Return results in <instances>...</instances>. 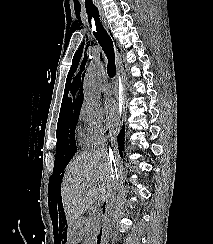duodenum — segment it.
I'll return each instance as SVG.
<instances>
[{
	"instance_id": "410a0bca",
	"label": "duodenum",
	"mask_w": 213,
	"mask_h": 244,
	"mask_svg": "<svg viewBox=\"0 0 213 244\" xmlns=\"http://www.w3.org/2000/svg\"><path fill=\"white\" fill-rule=\"evenodd\" d=\"M107 216H108V211L107 209H102V218L104 220L107 219ZM103 236H104V229L101 228L98 233H97V236H96V244H104L103 243Z\"/></svg>"
}]
</instances>
